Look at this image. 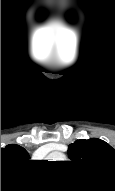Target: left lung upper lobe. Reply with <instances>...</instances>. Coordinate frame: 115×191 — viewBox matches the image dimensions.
Segmentation results:
<instances>
[{"mask_svg": "<svg viewBox=\"0 0 115 191\" xmlns=\"http://www.w3.org/2000/svg\"><path fill=\"white\" fill-rule=\"evenodd\" d=\"M68 155L76 164L115 178V149L101 139L76 140L69 145Z\"/></svg>", "mask_w": 115, "mask_h": 191, "instance_id": "obj_1", "label": "left lung upper lobe"}]
</instances>
